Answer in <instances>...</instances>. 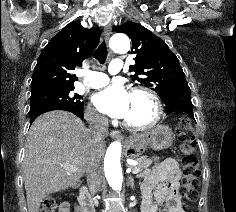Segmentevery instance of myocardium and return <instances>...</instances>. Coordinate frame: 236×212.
Segmentation results:
<instances>
[{"label": "myocardium", "mask_w": 236, "mask_h": 212, "mask_svg": "<svg viewBox=\"0 0 236 212\" xmlns=\"http://www.w3.org/2000/svg\"><path fill=\"white\" fill-rule=\"evenodd\" d=\"M131 94H141L148 98L154 107V114L152 118L140 125L132 124L126 120L123 121V125L130 131L133 132H143L153 128L161 119L163 114V105L160 98L150 89L144 86H135L131 89Z\"/></svg>", "instance_id": "1"}]
</instances>
